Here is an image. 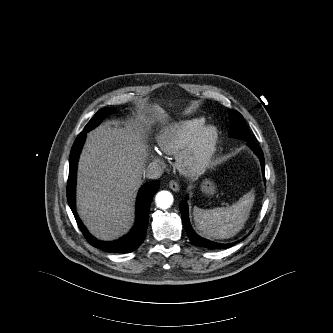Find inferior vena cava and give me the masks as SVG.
<instances>
[{
  "label": "inferior vena cava",
  "instance_id": "1",
  "mask_svg": "<svg viewBox=\"0 0 333 333\" xmlns=\"http://www.w3.org/2000/svg\"><path fill=\"white\" fill-rule=\"evenodd\" d=\"M163 173V167L157 163H150L145 170V176L149 179H158Z\"/></svg>",
  "mask_w": 333,
  "mask_h": 333
}]
</instances>
